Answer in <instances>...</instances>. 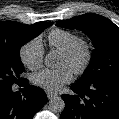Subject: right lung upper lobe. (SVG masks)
<instances>
[{
    "label": "right lung upper lobe",
    "instance_id": "right-lung-upper-lobe-1",
    "mask_svg": "<svg viewBox=\"0 0 119 119\" xmlns=\"http://www.w3.org/2000/svg\"><path fill=\"white\" fill-rule=\"evenodd\" d=\"M16 24H18V23L14 22V21H2V22H0V31L4 30V29H8Z\"/></svg>",
    "mask_w": 119,
    "mask_h": 119
}]
</instances>
